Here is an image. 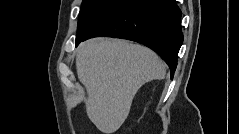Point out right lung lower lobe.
<instances>
[{"instance_id": "right-lung-lower-lobe-1", "label": "right lung lower lobe", "mask_w": 239, "mask_h": 134, "mask_svg": "<svg viewBox=\"0 0 239 134\" xmlns=\"http://www.w3.org/2000/svg\"><path fill=\"white\" fill-rule=\"evenodd\" d=\"M181 15L175 0H122L77 38L76 46L97 36L136 41L154 50L168 64L173 78L183 42Z\"/></svg>"}]
</instances>
